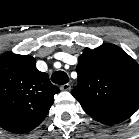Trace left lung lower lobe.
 Returning <instances> with one entry per match:
<instances>
[{"label":"left lung lower lobe","mask_w":139,"mask_h":139,"mask_svg":"<svg viewBox=\"0 0 139 139\" xmlns=\"http://www.w3.org/2000/svg\"><path fill=\"white\" fill-rule=\"evenodd\" d=\"M132 114L131 113H110V114H98L91 116L95 120L106 124V125H113L124 121L125 119L129 118Z\"/></svg>","instance_id":"obj_1"}]
</instances>
